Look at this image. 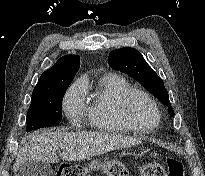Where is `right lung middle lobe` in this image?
Here are the masks:
<instances>
[{
    "instance_id": "1",
    "label": "right lung middle lobe",
    "mask_w": 205,
    "mask_h": 176,
    "mask_svg": "<svg viewBox=\"0 0 205 176\" xmlns=\"http://www.w3.org/2000/svg\"><path fill=\"white\" fill-rule=\"evenodd\" d=\"M68 86L53 92L32 96L27 114V132L44 127L56 126L62 119V99Z\"/></svg>"
}]
</instances>
